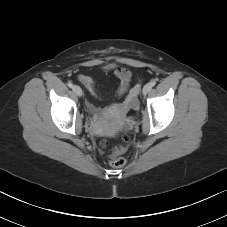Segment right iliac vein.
I'll return each instance as SVG.
<instances>
[{"label":"right iliac vein","instance_id":"63e3f726","mask_svg":"<svg viewBox=\"0 0 227 227\" xmlns=\"http://www.w3.org/2000/svg\"><path fill=\"white\" fill-rule=\"evenodd\" d=\"M73 92L79 97L82 96V89L77 85L73 86Z\"/></svg>","mask_w":227,"mask_h":227}]
</instances>
